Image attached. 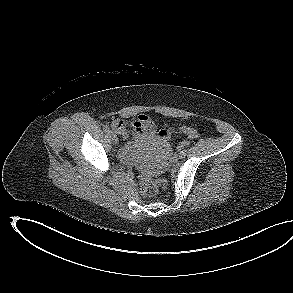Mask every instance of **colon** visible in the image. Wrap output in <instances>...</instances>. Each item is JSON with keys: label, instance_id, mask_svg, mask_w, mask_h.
Segmentation results:
<instances>
[{"label": "colon", "instance_id": "5ec220e1", "mask_svg": "<svg viewBox=\"0 0 293 293\" xmlns=\"http://www.w3.org/2000/svg\"><path fill=\"white\" fill-rule=\"evenodd\" d=\"M181 131L190 138H198L199 133L191 127H182ZM172 136L171 129H163L159 132V138L163 141H168ZM166 181L164 179H151L148 176L142 178L140 182V191L144 196L152 197L156 195L160 188L165 187Z\"/></svg>", "mask_w": 293, "mask_h": 293}]
</instances>
